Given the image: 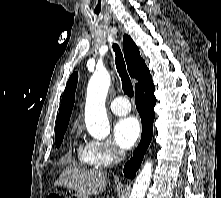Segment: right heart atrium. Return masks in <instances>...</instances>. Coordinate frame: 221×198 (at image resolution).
Segmentation results:
<instances>
[{
	"instance_id": "right-heart-atrium-1",
	"label": "right heart atrium",
	"mask_w": 221,
	"mask_h": 198,
	"mask_svg": "<svg viewBox=\"0 0 221 198\" xmlns=\"http://www.w3.org/2000/svg\"><path fill=\"white\" fill-rule=\"evenodd\" d=\"M88 154L94 166H108L123 157V152L112 141H90Z\"/></svg>"
}]
</instances>
